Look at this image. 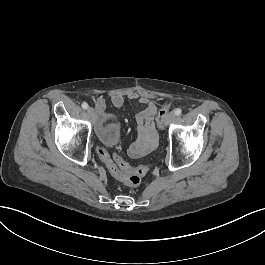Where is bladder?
I'll list each match as a JSON object with an SVG mask.
<instances>
[{"instance_id":"bladder-1","label":"bladder","mask_w":265,"mask_h":265,"mask_svg":"<svg viewBox=\"0 0 265 265\" xmlns=\"http://www.w3.org/2000/svg\"><path fill=\"white\" fill-rule=\"evenodd\" d=\"M97 136L108 147L115 146L121 137V125L119 120L110 114L101 116L97 124Z\"/></svg>"}]
</instances>
